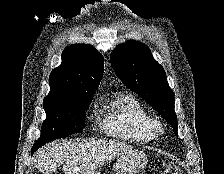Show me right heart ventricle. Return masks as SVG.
Segmentation results:
<instances>
[{
    "instance_id": "obj_1",
    "label": "right heart ventricle",
    "mask_w": 224,
    "mask_h": 174,
    "mask_svg": "<svg viewBox=\"0 0 224 174\" xmlns=\"http://www.w3.org/2000/svg\"><path fill=\"white\" fill-rule=\"evenodd\" d=\"M101 127L117 139L149 142L155 137L150 127V115L133 95L120 93L103 104Z\"/></svg>"
}]
</instances>
